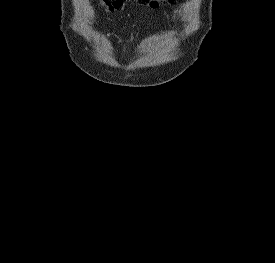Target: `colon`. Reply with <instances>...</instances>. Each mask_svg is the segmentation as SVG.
Wrapping results in <instances>:
<instances>
[{
  "mask_svg": "<svg viewBox=\"0 0 275 263\" xmlns=\"http://www.w3.org/2000/svg\"><path fill=\"white\" fill-rule=\"evenodd\" d=\"M165 1L172 2L173 0H136L139 5L148 6L151 9L159 8ZM101 2L108 12H113L119 10L125 0H101Z\"/></svg>",
  "mask_w": 275,
  "mask_h": 263,
  "instance_id": "colon-1",
  "label": "colon"
}]
</instances>
